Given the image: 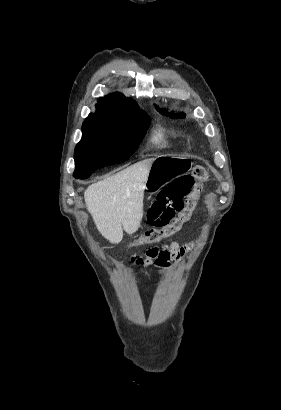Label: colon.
Returning <instances> with one entry per match:
<instances>
[{"mask_svg":"<svg viewBox=\"0 0 281 410\" xmlns=\"http://www.w3.org/2000/svg\"><path fill=\"white\" fill-rule=\"evenodd\" d=\"M207 179V170L197 166L191 174L178 178L162 189L148 210L151 228L145 230L134 245L156 243L177 231L189 219L202 183Z\"/></svg>","mask_w":281,"mask_h":410,"instance_id":"obj_1","label":"colon"}]
</instances>
